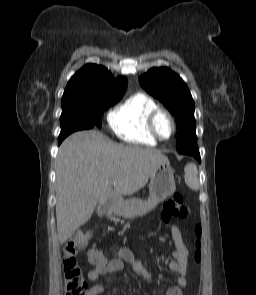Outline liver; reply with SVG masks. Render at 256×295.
Returning <instances> with one entry per match:
<instances>
[{
	"label": "liver",
	"mask_w": 256,
	"mask_h": 295,
	"mask_svg": "<svg viewBox=\"0 0 256 295\" xmlns=\"http://www.w3.org/2000/svg\"><path fill=\"white\" fill-rule=\"evenodd\" d=\"M167 160L159 150L118 144L95 130L71 134L59 148L55 169L60 244L91 218L98 203L139 191Z\"/></svg>",
	"instance_id": "obj_1"
}]
</instances>
